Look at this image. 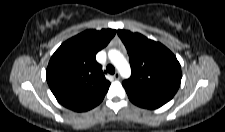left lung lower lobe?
<instances>
[{"label":"left lung lower lobe","instance_id":"0a47b994","mask_svg":"<svg viewBox=\"0 0 225 132\" xmlns=\"http://www.w3.org/2000/svg\"><path fill=\"white\" fill-rule=\"evenodd\" d=\"M130 101L134 103L135 105L142 107V108H147V109H156L162 105H164L165 101H147V100H141V99H135L129 97Z\"/></svg>","mask_w":225,"mask_h":132}]
</instances>
